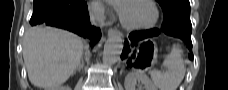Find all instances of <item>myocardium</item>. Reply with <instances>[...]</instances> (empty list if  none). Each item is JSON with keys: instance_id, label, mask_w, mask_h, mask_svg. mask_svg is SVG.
<instances>
[{"instance_id": "f54148a6", "label": "myocardium", "mask_w": 228, "mask_h": 90, "mask_svg": "<svg viewBox=\"0 0 228 90\" xmlns=\"http://www.w3.org/2000/svg\"><path fill=\"white\" fill-rule=\"evenodd\" d=\"M134 1H138V0H125V1H123V4L121 5V11H122V7L125 4L132 3ZM142 1H145V2L149 3L152 6V8L154 10V18H153V20L150 23L144 24V25H131V24L127 23L124 20V18L122 16V12L120 11L119 20H120L121 25L124 28L129 29V30H146V29H151V28H153V27H155L157 25V23L159 21V15L160 14H159V9H158L155 1H153V0H142Z\"/></svg>"}]
</instances>
